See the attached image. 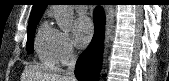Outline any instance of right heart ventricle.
Segmentation results:
<instances>
[{
	"label": "right heart ventricle",
	"mask_w": 169,
	"mask_h": 81,
	"mask_svg": "<svg viewBox=\"0 0 169 81\" xmlns=\"http://www.w3.org/2000/svg\"><path fill=\"white\" fill-rule=\"evenodd\" d=\"M56 30L51 29L47 24H42L36 33L34 49L43 63L54 65L57 62L55 54Z\"/></svg>",
	"instance_id": "right-heart-ventricle-1"
}]
</instances>
